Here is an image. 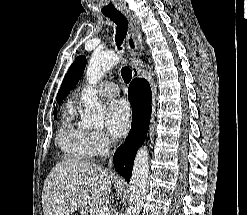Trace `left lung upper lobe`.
<instances>
[{"label": "left lung upper lobe", "instance_id": "5c2ea615", "mask_svg": "<svg viewBox=\"0 0 247 215\" xmlns=\"http://www.w3.org/2000/svg\"><path fill=\"white\" fill-rule=\"evenodd\" d=\"M86 58L79 56L75 59L74 63L70 66L67 74L64 77L60 90L57 94V103L61 104L62 100L69 94V92L76 86L80 80L85 66Z\"/></svg>", "mask_w": 247, "mask_h": 215}]
</instances>
